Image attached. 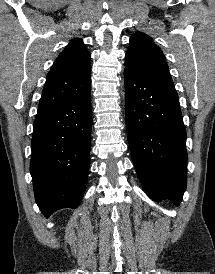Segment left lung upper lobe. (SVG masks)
I'll list each match as a JSON object with an SVG mask.
<instances>
[{
	"label": "left lung upper lobe",
	"instance_id": "obj_1",
	"mask_svg": "<svg viewBox=\"0 0 215 274\" xmlns=\"http://www.w3.org/2000/svg\"><path fill=\"white\" fill-rule=\"evenodd\" d=\"M129 43V50L125 57V69L174 86L165 56L150 36L143 32H136L130 38Z\"/></svg>",
	"mask_w": 215,
	"mask_h": 274
}]
</instances>
